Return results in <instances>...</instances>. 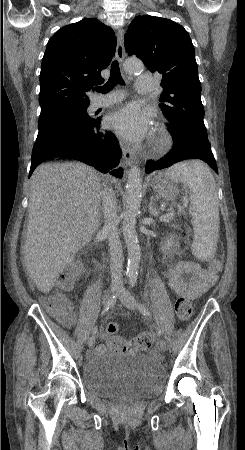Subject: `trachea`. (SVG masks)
Returning a JSON list of instances; mask_svg holds the SVG:
<instances>
[{
    "label": "trachea",
    "mask_w": 245,
    "mask_h": 450,
    "mask_svg": "<svg viewBox=\"0 0 245 450\" xmlns=\"http://www.w3.org/2000/svg\"><path fill=\"white\" fill-rule=\"evenodd\" d=\"M117 84H123L118 62L115 60L111 66V74L109 80L103 86L95 88L97 92L107 93Z\"/></svg>",
    "instance_id": "3493384b"
}]
</instances>
